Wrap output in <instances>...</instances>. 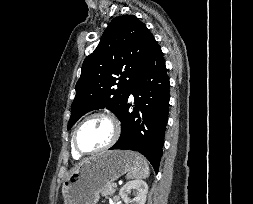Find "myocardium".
Returning a JSON list of instances; mask_svg holds the SVG:
<instances>
[{"instance_id": "1", "label": "myocardium", "mask_w": 253, "mask_h": 204, "mask_svg": "<svg viewBox=\"0 0 253 204\" xmlns=\"http://www.w3.org/2000/svg\"><path fill=\"white\" fill-rule=\"evenodd\" d=\"M93 118H105V119H107L113 126V135H112L110 141L106 145H104L100 148L91 150V151H84L78 146L77 134H78V131L81 128V126L84 123H86L87 121H89ZM120 134H121L120 123L113 115H111L109 113H105V112L92 113V114L88 115L87 117H85L82 121H80V123L74 129V132H73V135H72V147H73V150L80 156H87V155L100 153V152H103V151L111 148L112 146H114L116 144V142L118 141V139L120 137Z\"/></svg>"}]
</instances>
